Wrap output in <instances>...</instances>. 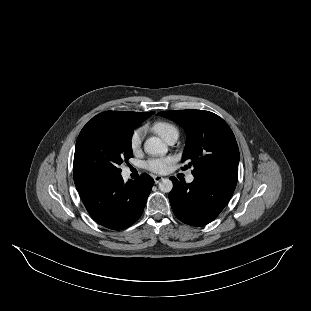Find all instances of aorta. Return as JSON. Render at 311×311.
<instances>
[{"instance_id": "obj_1", "label": "aorta", "mask_w": 311, "mask_h": 311, "mask_svg": "<svg viewBox=\"0 0 311 311\" xmlns=\"http://www.w3.org/2000/svg\"><path fill=\"white\" fill-rule=\"evenodd\" d=\"M144 150L146 153L153 156H164L168 152V146L158 137H150L144 143ZM173 183L169 179H163L159 183V189L168 193L172 190Z\"/></svg>"}]
</instances>
